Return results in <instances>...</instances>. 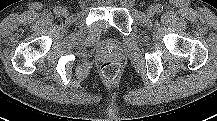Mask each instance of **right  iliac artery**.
Returning a JSON list of instances; mask_svg holds the SVG:
<instances>
[{
	"label": "right iliac artery",
	"mask_w": 217,
	"mask_h": 121,
	"mask_svg": "<svg viewBox=\"0 0 217 121\" xmlns=\"http://www.w3.org/2000/svg\"><path fill=\"white\" fill-rule=\"evenodd\" d=\"M60 11H61V7H55L54 8V13L55 14H60Z\"/></svg>",
	"instance_id": "right-iliac-artery-1"
}]
</instances>
